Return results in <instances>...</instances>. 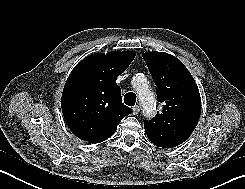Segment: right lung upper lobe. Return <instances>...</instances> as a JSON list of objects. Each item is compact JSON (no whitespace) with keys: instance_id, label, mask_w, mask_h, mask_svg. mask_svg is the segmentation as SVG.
I'll return each mask as SVG.
<instances>
[{"instance_id":"obj_1","label":"right lung upper lobe","mask_w":245,"mask_h":189,"mask_svg":"<svg viewBox=\"0 0 245 189\" xmlns=\"http://www.w3.org/2000/svg\"><path fill=\"white\" fill-rule=\"evenodd\" d=\"M135 55L134 51L92 54L73 69L63 89L61 108L75 136L90 143L102 142L132 113L122 103L116 79Z\"/></svg>"}]
</instances>
